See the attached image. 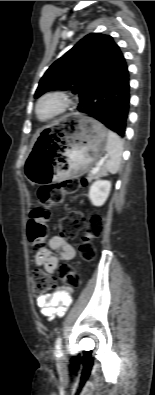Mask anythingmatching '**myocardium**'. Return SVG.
Returning <instances> with one entry per match:
<instances>
[{
  "label": "myocardium",
  "mask_w": 155,
  "mask_h": 395,
  "mask_svg": "<svg viewBox=\"0 0 155 395\" xmlns=\"http://www.w3.org/2000/svg\"><path fill=\"white\" fill-rule=\"evenodd\" d=\"M70 105L71 99L65 92H47L36 101L34 116L40 123H48L62 116Z\"/></svg>",
  "instance_id": "myocardium-1"
}]
</instances>
